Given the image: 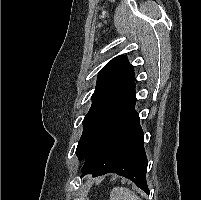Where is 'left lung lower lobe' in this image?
Wrapping results in <instances>:
<instances>
[{
	"instance_id": "1",
	"label": "left lung lower lobe",
	"mask_w": 201,
	"mask_h": 200,
	"mask_svg": "<svg viewBox=\"0 0 201 200\" xmlns=\"http://www.w3.org/2000/svg\"><path fill=\"white\" fill-rule=\"evenodd\" d=\"M135 103L134 89L101 124L82 159V175L91 173L96 177L116 173L149 194L144 134Z\"/></svg>"
}]
</instances>
